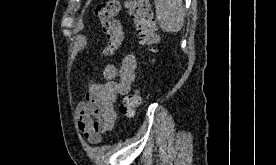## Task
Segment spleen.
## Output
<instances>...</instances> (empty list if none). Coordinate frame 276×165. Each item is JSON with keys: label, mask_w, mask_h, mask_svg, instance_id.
<instances>
[{"label": "spleen", "mask_w": 276, "mask_h": 165, "mask_svg": "<svg viewBox=\"0 0 276 165\" xmlns=\"http://www.w3.org/2000/svg\"><path fill=\"white\" fill-rule=\"evenodd\" d=\"M156 17L164 32L175 33L182 29L185 10L182 0H154Z\"/></svg>", "instance_id": "spleen-1"}]
</instances>
